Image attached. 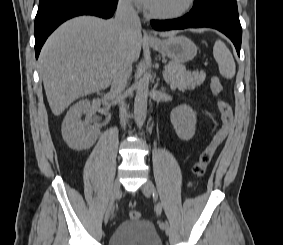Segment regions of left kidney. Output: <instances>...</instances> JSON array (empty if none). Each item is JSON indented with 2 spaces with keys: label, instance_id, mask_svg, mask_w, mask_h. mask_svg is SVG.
<instances>
[{
  "label": "left kidney",
  "instance_id": "left-kidney-1",
  "mask_svg": "<svg viewBox=\"0 0 283 245\" xmlns=\"http://www.w3.org/2000/svg\"><path fill=\"white\" fill-rule=\"evenodd\" d=\"M170 119L180 139L188 141L194 136L196 115L191 107L180 105L174 108L170 114Z\"/></svg>",
  "mask_w": 283,
  "mask_h": 245
}]
</instances>
